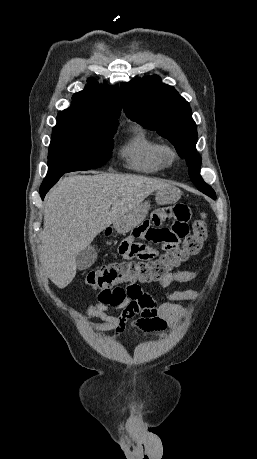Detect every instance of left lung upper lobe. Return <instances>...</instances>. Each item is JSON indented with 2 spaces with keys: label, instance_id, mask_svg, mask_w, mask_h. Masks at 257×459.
<instances>
[{
  "label": "left lung upper lobe",
  "instance_id": "left-lung-upper-lobe-1",
  "mask_svg": "<svg viewBox=\"0 0 257 459\" xmlns=\"http://www.w3.org/2000/svg\"><path fill=\"white\" fill-rule=\"evenodd\" d=\"M120 97L128 118L168 139L185 158L189 176L198 190L216 199L214 190L200 175L201 157L196 153L197 129L189 103L158 76L121 83Z\"/></svg>",
  "mask_w": 257,
  "mask_h": 459
}]
</instances>
